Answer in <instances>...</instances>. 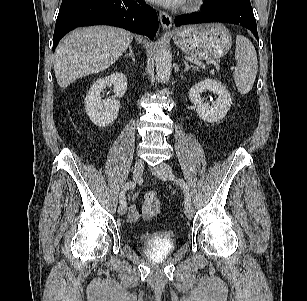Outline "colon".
I'll return each instance as SVG.
<instances>
[{
  "mask_svg": "<svg viewBox=\"0 0 307 301\" xmlns=\"http://www.w3.org/2000/svg\"><path fill=\"white\" fill-rule=\"evenodd\" d=\"M143 215L150 220L160 212V202L155 192H148L142 203Z\"/></svg>",
  "mask_w": 307,
  "mask_h": 301,
  "instance_id": "5ec220e1",
  "label": "colon"
}]
</instances>
